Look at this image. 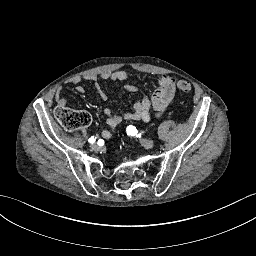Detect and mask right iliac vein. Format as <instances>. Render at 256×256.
Wrapping results in <instances>:
<instances>
[{"label":"right iliac vein","mask_w":256,"mask_h":256,"mask_svg":"<svg viewBox=\"0 0 256 256\" xmlns=\"http://www.w3.org/2000/svg\"><path fill=\"white\" fill-rule=\"evenodd\" d=\"M91 148H92V150H94L96 152H98V151H100L102 149L101 146L98 143H93L91 145Z\"/></svg>","instance_id":"1"}]
</instances>
